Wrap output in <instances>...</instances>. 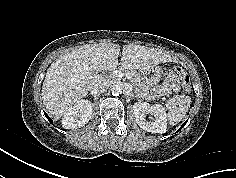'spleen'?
<instances>
[{"instance_id":"spleen-1","label":"spleen","mask_w":236,"mask_h":178,"mask_svg":"<svg viewBox=\"0 0 236 178\" xmlns=\"http://www.w3.org/2000/svg\"><path fill=\"white\" fill-rule=\"evenodd\" d=\"M191 105V98L175 95L166 102L167 116L170 125H176L186 116Z\"/></svg>"}]
</instances>
